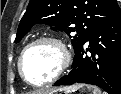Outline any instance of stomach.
<instances>
[{"label": "stomach", "mask_w": 121, "mask_h": 94, "mask_svg": "<svg viewBox=\"0 0 121 94\" xmlns=\"http://www.w3.org/2000/svg\"><path fill=\"white\" fill-rule=\"evenodd\" d=\"M48 94H101V91L96 87L76 84L70 87L61 88Z\"/></svg>", "instance_id": "1"}]
</instances>
